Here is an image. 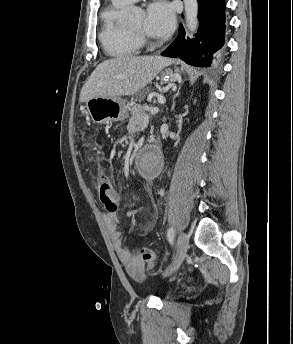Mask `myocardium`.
I'll list each match as a JSON object with an SVG mask.
<instances>
[{
  "mask_svg": "<svg viewBox=\"0 0 293 344\" xmlns=\"http://www.w3.org/2000/svg\"><path fill=\"white\" fill-rule=\"evenodd\" d=\"M128 31L131 35H133L135 38H137L140 41H146L147 40L145 34L142 32H135L129 28H128Z\"/></svg>",
  "mask_w": 293,
  "mask_h": 344,
  "instance_id": "1",
  "label": "myocardium"
}]
</instances>
